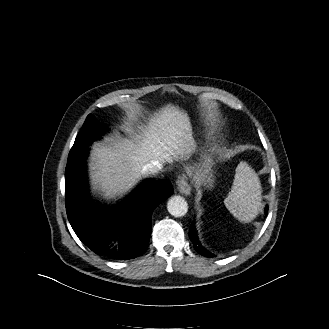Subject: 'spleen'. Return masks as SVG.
Returning <instances> with one entry per match:
<instances>
[{
    "mask_svg": "<svg viewBox=\"0 0 329 329\" xmlns=\"http://www.w3.org/2000/svg\"><path fill=\"white\" fill-rule=\"evenodd\" d=\"M235 171L233 185L224 204L234 217L247 223L257 216L262 205L261 184L246 162H240Z\"/></svg>",
    "mask_w": 329,
    "mask_h": 329,
    "instance_id": "spleen-1",
    "label": "spleen"
}]
</instances>
